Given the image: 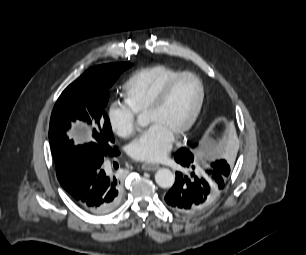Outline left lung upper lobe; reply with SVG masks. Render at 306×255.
<instances>
[{
	"label": "left lung upper lobe",
	"instance_id": "left-lung-upper-lobe-1",
	"mask_svg": "<svg viewBox=\"0 0 306 255\" xmlns=\"http://www.w3.org/2000/svg\"><path fill=\"white\" fill-rule=\"evenodd\" d=\"M198 146L197 143L193 144L192 146H190L188 149L192 152L194 151V149ZM214 165H224L226 166V161L225 160H220V161H216L215 163H213ZM229 166V165H228Z\"/></svg>",
	"mask_w": 306,
	"mask_h": 255
}]
</instances>
